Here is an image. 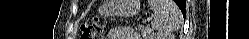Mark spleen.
<instances>
[{
  "label": "spleen",
  "instance_id": "1",
  "mask_svg": "<svg viewBox=\"0 0 249 39\" xmlns=\"http://www.w3.org/2000/svg\"><path fill=\"white\" fill-rule=\"evenodd\" d=\"M149 5L154 13L151 24L156 30L155 37L163 39L167 32L172 31L174 24H179L181 12L176 5L171 6L169 0H149Z\"/></svg>",
  "mask_w": 249,
  "mask_h": 39
}]
</instances>
